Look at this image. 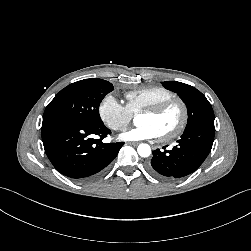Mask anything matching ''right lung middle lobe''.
Wrapping results in <instances>:
<instances>
[{
    "label": "right lung middle lobe",
    "instance_id": "obj_1",
    "mask_svg": "<svg viewBox=\"0 0 251 251\" xmlns=\"http://www.w3.org/2000/svg\"><path fill=\"white\" fill-rule=\"evenodd\" d=\"M113 85L102 79H84L61 90L46 107L43 123L50 120H70L94 125L103 124L99 105Z\"/></svg>",
    "mask_w": 251,
    "mask_h": 251
}]
</instances>
